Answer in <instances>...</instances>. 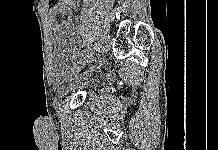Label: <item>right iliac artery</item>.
I'll use <instances>...</instances> for the list:
<instances>
[{"mask_svg": "<svg viewBox=\"0 0 218 150\" xmlns=\"http://www.w3.org/2000/svg\"><path fill=\"white\" fill-rule=\"evenodd\" d=\"M92 44L95 45V42H94V41H91V42H90V46H91ZM98 45H99V44H98ZM90 46H89V47H90ZM89 47H86V48H85V51H86L87 49H89ZM79 55H84V50H79V53H77L76 56H79Z\"/></svg>", "mask_w": 218, "mask_h": 150, "instance_id": "right-iliac-artery-1", "label": "right iliac artery"}]
</instances>
